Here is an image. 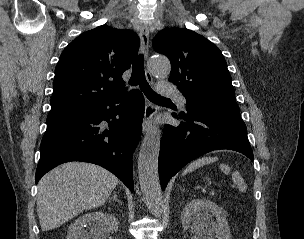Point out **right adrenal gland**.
Wrapping results in <instances>:
<instances>
[{"label":"right adrenal gland","mask_w":304,"mask_h":239,"mask_svg":"<svg viewBox=\"0 0 304 239\" xmlns=\"http://www.w3.org/2000/svg\"><path fill=\"white\" fill-rule=\"evenodd\" d=\"M110 200H115L117 201L118 203H121V201L118 199L116 193L114 192L113 195H112V198H110Z\"/></svg>","instance_id":"1"}]
</instances>
